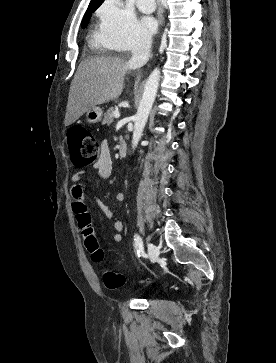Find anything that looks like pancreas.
Instances as JSON below:
<instances>
[{"label":"pancreas","mask_w":276,"mask_h":363,"mask_svg":"<svg viewBox=\"0 0 276 363\" xmlns=\"http://www.w3.org/2000/svg\"><path fill=\"white\" fill-rule=\"evenodd\" d=\"M116 111L115 108L111 107L108 111L104 114V119L102 121L103 125H110L113 122V113Z\"/></svg>","instance_id":"1"}]
</instances>
